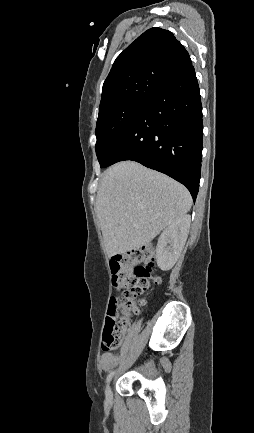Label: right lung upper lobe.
<instances>
[{
	"mask_svg": "<svg viewBox=\"0 0 254 433\" xmlns=\"http://www.w3.org/2000/svg\"><path fill=\"white\" fill-rule=\"evenodd\" d=\"M190 64L188 52L172 32L148 29L116 58L103 84L99 109L126 99H150Z\"/></svg>",
	"mask_w": 254,
	"mask_h": 433,
	"instance_id": "right-lung-upper-lobe-1",
	"label": "right lung upper lobe"
}]
</instances>
